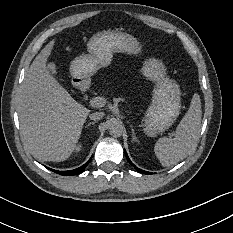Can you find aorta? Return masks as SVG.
<instances>
[{
	"mask_svg": "<svg viewBox=\"0 0 233 233\" xmlns=\"http://www.w3.org/2000/svg\"><path fill=\"white\" fill-rule=\"evenodd\" d=\"M122 126L119 123H113L110 127H109V132L112 136L114 137H118L121 136L122 134Z\"/></svg>",
	"mask_w": 233,
	"mask_h": 233,
	"instance_id": "aorta-1",
	"label": "aorta"
}]
</instances>
